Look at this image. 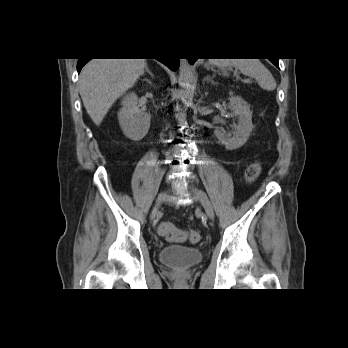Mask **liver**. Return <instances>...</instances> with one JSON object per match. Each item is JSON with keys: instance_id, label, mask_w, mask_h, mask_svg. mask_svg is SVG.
I'll return each instance as SVG.
<instances>
[{"instance_id": "6515ba94", "label": "liver", "mask_w": 348, "mask_h": 348, "mask_svg": "<svg viewBox=\"0 0 348 348\" xmlns=\"http://www.w3.org/2000/svg\"><path fill=\"white\" fill-rule=\"evenodd\" d=\"M145 59H92L82 69L79 92L84 107L98 126L105 115L143 75Z\"/></svg>"}]
</instances>
